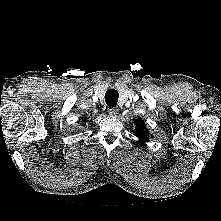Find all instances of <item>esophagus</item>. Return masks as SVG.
Instances as JSON below:
<instances>
[{"mask_svg":"<svg viewBox=\"0 0 221 221\" xmlns=\"http://www.w3.org/2000/svg\"><path fill=\"white\" fill-rule=\"evenodd\" d=\"M119 110L117 108H109L108 113L110 116H116L118 114Z\"/></svg>","mask_w":221,"mask_h":221,"instance_id":"1","label":"esophagus"}]
</instances>
